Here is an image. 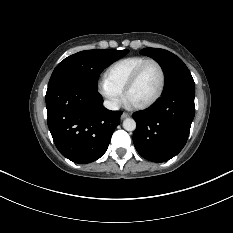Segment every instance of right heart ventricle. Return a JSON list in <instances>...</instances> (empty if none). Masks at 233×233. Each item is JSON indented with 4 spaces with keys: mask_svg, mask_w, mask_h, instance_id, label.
I'll list each match as a JSON object with an SVG mask.
<instances>
[{
    "mask_svg": "<svg viewBox=\"0 0 233 233\" xmlns=\"http://www.w3.org/2000/svg\"><path fill=\"white\" fill-rule=\"evenodd\" d=\"M148 59L144 56H130L120 59L107 68L105 79L123 92L133 72Z\"/></svg>",
    "mask_w": 233,
    "mask_h": 233,
    "instance_id": "e07e8e85",
    "label": "right heart ventricle"
}]
</instances>
